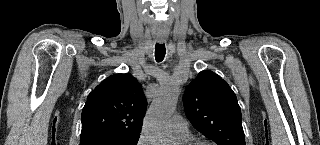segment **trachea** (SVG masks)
Wrapping results in <instances>:
<instances>
[{
    "mask_svg": "<svg viewBox=\"0 0 320 145\" xmlns=\"http://www.w3.org/2000/svg\"><path fill=\"white\" fill-rule=\"evenodd\" d=\"M166 54L165 44L156 43L155 45V59L157 62H161Z\"/></svg>",
    "mask_w": 320,
    "mask_h": 145,
    "instance_id": "1",
    "label": "trachea"
}]
</instances>
